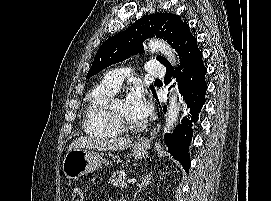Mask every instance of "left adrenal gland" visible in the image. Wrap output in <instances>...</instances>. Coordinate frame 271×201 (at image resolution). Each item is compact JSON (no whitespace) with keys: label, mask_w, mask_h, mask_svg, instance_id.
Instances as JSON below:
<instances>
[{"label":"left adrenal gland","mask_w":271,"mask_h":201,"mask_svg":"<svg viewBox=\"0 0 271 201\" xmlns=\"http://www.w3.org/2000/svg\"><path fill=\"white\" fill-rule=\"evenodd\" d=\"M151 180H152V172L148 173L145 177H143L142 183L138 186L134 194V199L136 198L138 193L141 192L143 188L147 187L151 183Z\"/></svg>","instance_id":"obj_1"}]
</instances>
